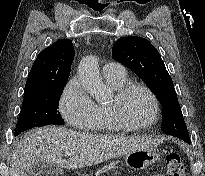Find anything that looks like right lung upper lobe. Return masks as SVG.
Wrapping results in <instances>:
<instances>
[{"instance_id": "obj_1", "label": "right lung upper lobe", "mask_w": 205, "mask_h": 176, "mask_svg": "<svg viewBox=\"0 0 205 176\" xmlns=\"http://www.w3.org/2000/svg\"><path fill=\"white\" fill-rule=\"evenodd\" d=\"M73 59L74 47L69 39H60L41 51L28 74L24 96L66 84Z\"/></svg>"}]
</instances>
